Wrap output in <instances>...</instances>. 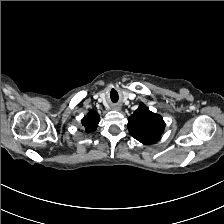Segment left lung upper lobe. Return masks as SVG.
Returning a JSON list of instances; mask_svg holds the SVG:
<instances>
[{"label": "left lung upper lobe", "mask_w": 224, "mask_h": 224, "mask_svg": "<svg viewBox=\"0 0 224 224\" xmlns=\"http://www.w3.org/2000/svg\"><path fill=\"white\" fill-rule=\"evenodd\" d=\"M130 134L143 144L156 143L164 131L163 118L151 112L143 103L128 119Z\"/></svg>", "instance_id": "5c2ea615"}]
</instances>
